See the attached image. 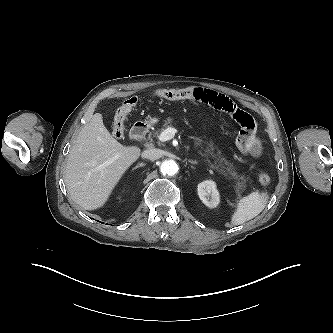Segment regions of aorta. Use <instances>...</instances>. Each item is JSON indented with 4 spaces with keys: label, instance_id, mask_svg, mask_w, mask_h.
<instances>
[{
    "label": "aorta",
    "instance_id": "obj_1",
    "mask_svg": "<svg viewBox=\"0 0 333 333\" xmlns=\"http://www.w3.org/2000/svg\"><path fill=\"white\" fill-rule=\"evenodd\" d=\"M160 171L163 175L173 176L178 172V165L174 160H165L161 163Z\"/></svg>",
    "mask_w": 333,
    "mask_h": 333
}]
</instances>
